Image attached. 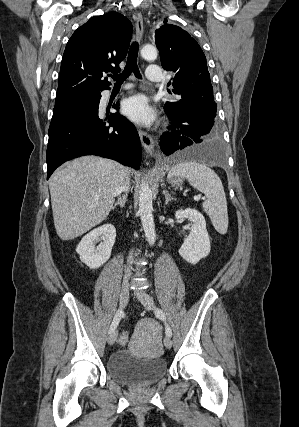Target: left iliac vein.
I'll return each instance as SVG.
<instances>
[{
	"instance_id": "left-iliac-vein-1",
	"label": "left iliac vein",
	"mask_w": 299,
	"mask_h": 427,
	"mask_svg": "<svg viewBox=\"0 0 299 427\" xmlns=\"http://www.w3.org/2000/svg\"><path fill=\"white\" fill-rule=\"evenodd\" d=\"M138 300L142 303V305L148 310L151 311L154 308V300L153 298L144 291H136L135 293ZM164 346L167 349L172 347V340L170 337L166 336L163 340Z\"/></svg>"
}]
</instances>
